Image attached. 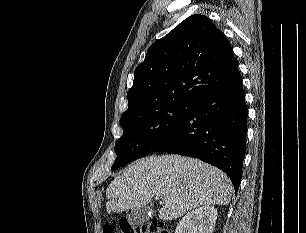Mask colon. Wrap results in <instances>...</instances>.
Masks as SVG:
<instances>
[{
  "label": "colon",
  "mask_w": 306,
  "mask_h": 233,
  "mask_svg": "<svg viewBox=\"0 0 306 233\" xmlns=\"http://www.w3.org/2000/svg\"><path fill=\"white\" fill-rule=\"evenodd\" d=\"M103 233H170L165 223L151 219L140 225H133L128 220L111 221L103 226Z\"/></svg>",
  "instance_id": "obj_1"
}]
</instances>
